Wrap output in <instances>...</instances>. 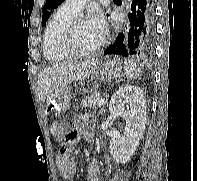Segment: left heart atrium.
I'll list each match as a JSON object with an SVG mask.
<instances>
[{"mask_svg":"<svg viewBox=\"0 0 197 181\" xmlns=\"http://www.w3.org/2000/svg\"><path fill=\"white\" fill-rule=\"evenodd\" d=\"M90 25L97 30L99 33L103 34L105 31V19L102 15L101 12L95 11L90 20H89Z\"/></svg>","mask_w":197,"mask_h":181,"instance_id":"39dd6f15","label":"left heart atrium"}]
</instances>
